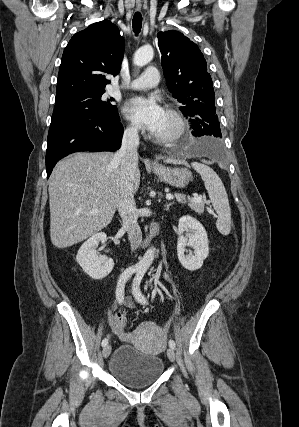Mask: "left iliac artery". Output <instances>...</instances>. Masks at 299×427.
I'll list each match as a JSON object with an SVG mask.
<instances>
[{"mask_svg": "<svg viewBox=\"0 0 299 427\" xmlns=\"http://www.w3.org/2000/svg\"><path fill=\"white\" fill-rule=\"evenodd\" d=\"M145 272H146L145 269H139L137 271V274H136V276L133 280V284H132V293H133L135 299L141 304H147L148 303L146 297L142 294V292L140 290V283L143 279ZM169 346L171 348H175V342L173 340H170Z\"/></svg>", "mask_w": 299, "mask_h": 427, "instance_id": "obj_1", "label": "left iliac artery"}]
</instances>
